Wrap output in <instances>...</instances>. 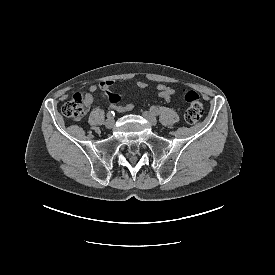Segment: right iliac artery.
I'll use <instances>...</instances> for the list:
<instances>
[{
  "label": "right iliac artery",
  "instance_id": "1",
  "mask_svg": "<svg viewBox=\"0 0 275 275\" xmlns=\"http://www.w3.org/2000/svg\"><path fill=\"white\" fill-rule=\"evenodd\" d=\"M114 114H115L114 111H110V112L108 113V116H109V117H113Z\"/></svg>",
  "mask_w": 275,
  "mask_h": 275
}]
</instances>
